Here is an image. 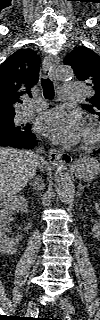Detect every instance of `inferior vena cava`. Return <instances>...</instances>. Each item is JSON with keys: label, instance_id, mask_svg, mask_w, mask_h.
<instances>
[{"label": "inferior vena cava", "instance_id": "obj_1", "mask_svg": "<svg viewBox=\"0 0 100 320\" xmlns=\"http://www.w3.org/2000/svg\"><path fill=\"white\" fill-rule=\"evenodd\" d=\"M43 150H37L36 152V158L38 160V166H40L41 164H44V159L39 155V153H42Z\"/></svg>", "mask_w": 100, "mask_h": 320}]
</instances>
